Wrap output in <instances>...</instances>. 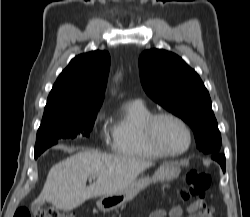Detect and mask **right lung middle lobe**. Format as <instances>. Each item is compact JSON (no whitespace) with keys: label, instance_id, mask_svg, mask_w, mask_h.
<instances>
[{"label":"right lung middle lobe","instance_id":"obj_1","mask_svg":"<svg viewBox=\"0 0 250 217\" xmlns=\"http://www.w3.org/2000/svg\"><path fill=\"white\" fill-rule=\"evenodd\" d=\"M99 109L66 112L43 117L37 132L35 158L61 138L89 136Z\"/></svg>","mask_w":250,"mask_h":217}]
</instances>
